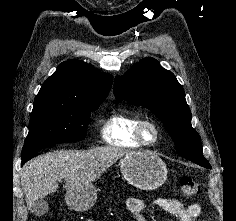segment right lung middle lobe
<instances>
[{
  "instance_id": "obj_1",
  "label": "right lung middle lobe",
  "mask_w": 236,
  "mask_h": 221,
  "mask_svg": "<svg viewBox=\"0 0 236 221\" xmlns=\"http://www.w3.org/2000/svg\"><path fill=\"white\" fill-rule=\"evenodd\" d=\"M101 102H34L22 156L61 142L83 140L90 112Z\"/></svg>"
}]
</instances>
